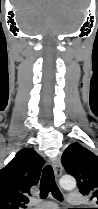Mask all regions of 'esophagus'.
Returning a JSON list of instances; mask_svg holds the SVG:
<instances>
[{
  "instance_id": "34e87169",
  "label": "esophagus",
  "mask_w": 98,
  "mask_h": 209,
  "mask_svg": "<svg viewBox=\"0 0 98 209\" xmlns=\"http://www.w3.org/2000/svg\"><path fill=\"white\" fill-rule=\"evenodd\" d=\"M53 169H54V173L57 179L60 178V176L62 175V166L61 163L58 159H55L53 161Z\"/></svg>"
}]
</instances>
